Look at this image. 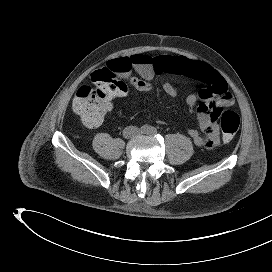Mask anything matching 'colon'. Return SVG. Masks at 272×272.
<instances>
[{"label": "colon", "instance_id": "5ec220e1", "mask_svg": "<svg viewBox=\"0 0 272 272\" xmlns=\"http://www.w3.org/2000/svg\"><path fill=\"white\" fill-rule=\"evenodd\" d=\"M91 81L92 85H84L77 90L72 106L85 125L96 128L102 123L112 99L125 96L127 85L119 78L117 70L111 67L94 71ZM218 119L224 140H232L240 126L239 115L220 110Z\"/></svg>", "mask_w": 272, "mask_h": 272}]
</instances>
